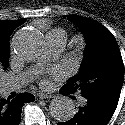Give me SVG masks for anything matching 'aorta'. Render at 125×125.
Masks as SVG:
<instances>
[{"instance_id":"aorta-1","label":"aorta","mask_w":125,"mask_h":125,"mask_svg":"<svg viewBox=\"0 0 125 125\" xmlns=\"http://www.w3.org/2000/svg\"><path fill=\"white\" fill-rule=\"evenodd\" d=\"M15 48L24 58L37 57L43 51L44 40L37 30H20L15 37ZM49 109L51 116L59 121H67L76 113L73 102L66 96L53 99Z\"/></svg>"}]
</instances>
